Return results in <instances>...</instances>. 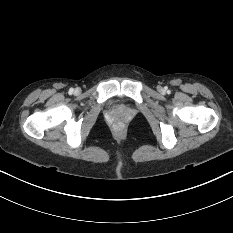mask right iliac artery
Masks as SVG:
<instances>
[{
	"label": "right iliac artery",
	"instance_id": "obj_1",
	"mask_svg": "<svg viewBox=\"0 0 233 233\" xmlns=\"http://www.w3.org/2000/svg\"><path fill=\"white\" fill-rule=\"evenodd\" d=\"M74 92V89L73 88H70L69 89V94H72Z\"/></svg>",
	"mask_w": 233,
	"mask_h": 233
}]
</instances>
